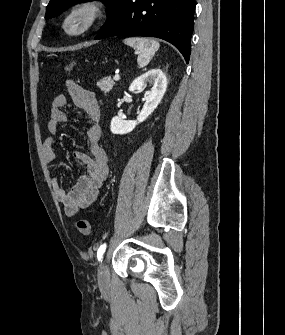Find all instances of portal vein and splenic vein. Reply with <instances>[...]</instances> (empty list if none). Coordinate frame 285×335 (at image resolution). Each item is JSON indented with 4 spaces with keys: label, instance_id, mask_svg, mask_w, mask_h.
Here are the masks:
<instances>
[{
    "label": "portal vein and splenic vein",
    "instance_id": "portal-vein-and-splenic-vein-1",
    "mask_svg": "<svg viewBox=\"0 0 285 335\" xmlns=\"http://www.w3.org/2000/svg\"><path fill=\"white\" fill-rule=\"evenodd\" d=\"M114 80H116V82H117V80H120V76H119V74H115V76H114Z\"/></svg>",
    "mask_w": 285,
    "mask_h": 335
}]
</instances>
